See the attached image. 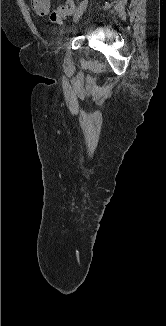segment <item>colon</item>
<instances>
[{
	"label": "colon",
	"instance_id": "5ec220e1",
	"mask_svg": "<svg viewBox=\"0 0 166 326\" xmlns=\"http://www.w3.org/2000/svg\"><path fill=\"white\" fill-rule=\"evenodd\" d=\"M72 8V4H67V5H63L58 7L56 10H54L51 14H50V19L52 22H57L59 21L62 16Z\"/></svg>",
	"mask_w": 166,
	"mask_h": 326
}]
</instances>
